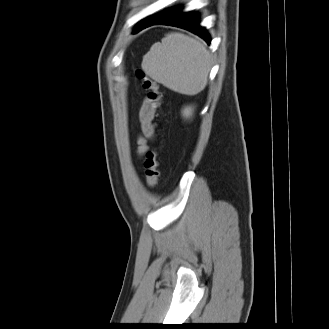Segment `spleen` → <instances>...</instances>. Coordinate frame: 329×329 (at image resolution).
<instances>
[{
    "mask_svg": "<svg viewBox=\"0 0 329 329\" xmlns=\"http://www.w3.org/2000/svg\"><path fill=\"white\" fill-rule=\"evenodd\" d=\"M211 55L205 45L172 32L155 43L143 57L142 69L154 81L185 95H195L208 82Z\"/></svg>",
    "mask_w": 329,
    "mask_h": 329,
    "instance_id": "1",
    "label": "spleen"
}]
</instances>
